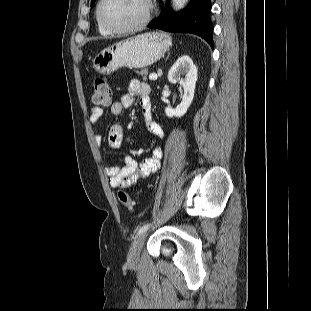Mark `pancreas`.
Listing matches in <instances>:
<instances>
[{
  "mask_svg": "<svg viewBox=\"0 0 311 311\" xmlns=\"http://www.w3.org/2000/svg\"><path fill=\"white\" fill-rule=\"evenodd\" d=\"M137 73L143 77L144 81L147 80L146 76L148 74V69H141L140 71H137Z\"/></svg>",
  "mask_w": 311,
  "mask_h": 311,
  "instance_id": "obj_1",
  "label": "pancreas"
}]
</instances>
